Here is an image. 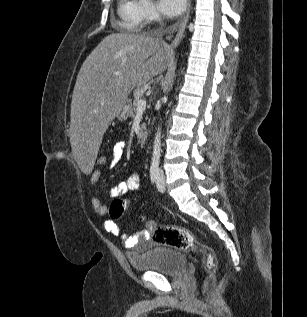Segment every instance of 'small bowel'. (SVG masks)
<instances>
[{
	"label": "small bowel",
	"instance_id": "1",
	"mask_svg": "<svg viewBox=\"0 0 307 317\" xmlns=\"http://www.w3.org/2000/svg\"><path fill=\"white\" fill-rule=\"evenodd\" d=\"M127 150V143L123 140H118L115 142L112 148L111 158L108 162L107 169H114L119 162L122 160L125 152ZM101 177V171L96 169L93 170L90 175V183L92 187H96L97 183ZM140 178L137 173L131 174L125 181H122L112 187L109 190V196L111 198H116L122 196L128 192L135 191L139 188ZM92 206L95 212L98 215L104 216L106 215L108 208L107 206L101 202V200L93 196L92 197ZM105 229L115 235L120 234V227L113 221L107 220L105 221ZM121 240L124 245L128 248L138 247L143 248L147 244L149 240V234L146 231L137 232L135 235L130 236L127 233H121Z\"/></svg>",
	"mask_w": 307,
	"mask_h": 317
}]
</instances>
